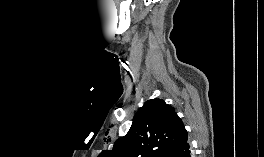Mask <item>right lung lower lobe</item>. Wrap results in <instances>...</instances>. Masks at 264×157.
<instances>
[{"label": "right lung lower lobe", "mask_w": 264, "mask_h": 157, "mask_svg": "<svg viewBox=\"0 0 264 157\" xmlns=\"http://www.w3.org/2000/svg\"><path fill=\"white\" fill-rule=\"evenodd\" d=\"M170 157H193L189 143L186 142L178 150L172 153Z\"/></svg>", "instance_id": "1"}]
</instances>
